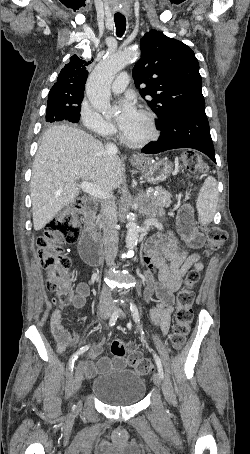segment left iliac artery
<instances>
[{
	"mask_svg": "<svg viewBox=\"0 0 250 454\" xmlns=\"http://www.w3.org/2000/svg\"><path fill=\"white\" fill-rule=\"evenodd\" d=\"M130 310H131L132 317H133L134 321L137 324V328L140 330V332L142 334H144V332L142 331L141 326H140V317H139L138 308H137V306L134 303H130ZM154 359H155V362H156V365H157L158 372H159L161 378H163L164 377V372H163V367H162L161 360L157 356V354H154Z\"/></svg>",
	"mask_w": 250,
	"mask_h": 454,
	"instance_id": "left-iliac-artery-1",
	"label": "left iliac artery"
}]
</instances>
